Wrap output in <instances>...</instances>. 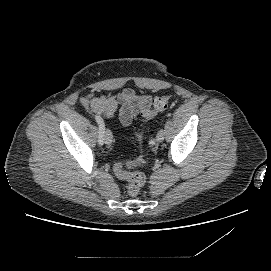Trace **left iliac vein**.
I'll return each mask as SVG.
<instances>
[{
  "mask_svg": "<svg viewBox=\"0 0 271 271\" xmlns=\"http://www.w3.org/2000/svg\"><path fill=\"white\" fill-rule=\"evenodd\" d=\"M157 142H162L164 140V131L163 129L159 130L156 136Z\"/></svg>",
  "mask_w": 271,
  "mask_h": 271,
  "instance_id": "4c4485c4",
  "label": "left iliac vein"
}]
</instances>
